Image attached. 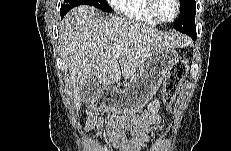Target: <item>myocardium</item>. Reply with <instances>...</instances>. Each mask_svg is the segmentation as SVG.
Wrapping results in <instances>:
<instances>
[{
    "mask_svg": "<svg viewBox=\"0 0 231 151\" xmlns=\"http://www.w3.org/2000/svg\"><path fill=\"white\" fill-rule=\"evenodd\" d=\"M174 5L176 8V12L174 14V16L171 19H164L162 18L158 12H157V0H148L147 2V6H148V11L150 13V15L157 20L159 23H171L173 21H175L180 14V1L179 0H174Z\"/></svg>",
    "mask_w": 231,
    "mask_h": 151,
    "instance_id": "myocardium-1",
    "label": "myocardium"
}]
</instances>
